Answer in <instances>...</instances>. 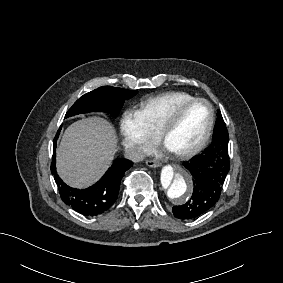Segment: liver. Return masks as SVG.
<instances>
[{
  "label": "liver",
  "mask_w": 283,
  "mask_h": 283,
  "mask_svg": "<svg viewBox=\"0 0 283 283\" xmlns=\"http://www.w3.org/2000/svg\"><path fill=\"white\" fill-rule=\"evenodd\" d=\"M116 141L113 127L105 120L92 118L72 124L57 150L59 175L74 187L93 184L110 166Z\"/></svg>",
  "instance_id": "6515ba94"
}]
</instances>
